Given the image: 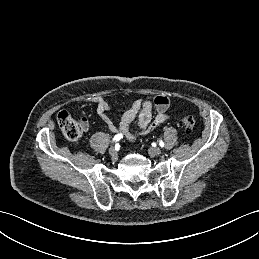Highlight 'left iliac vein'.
<instances>
[{"label":"left iliac vein","mask_w":259,"mask_h":259,"mask_svg":"<svg viewBox=\"0 0 259 259\" xmlns=\"http://www.w3.org/2000/svg\"><path fill=\"white\" fill-rule=\"evenodd\" d=\"M150 156H159L162 153V150L158 147H152L148 150Z\"/></svg>","instance_id":"4c4485c4"}]
</instances>
